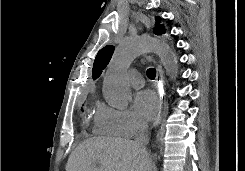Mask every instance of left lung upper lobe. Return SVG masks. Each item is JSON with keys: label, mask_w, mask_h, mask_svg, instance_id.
<instances>
[{"label": "left lung upper lobe", "mask_w": 245, "mask_h": 171, "mask_svg": "<svg viewBox=\"0 0 245 171\" xmlns=\"http://www.w3.org/2000/svg\"><path fill=\"white\" fill-rule=\"evenodd\" d=\"M155 20H156V24L153 29V32L156 35H161L162 33H165L164 25L160 24L161 18L157 16ZM113 52H114V46L112 45H107L98 52L93 66V72H92L93 79H97L101 75L102 70L109 63Z\"/></svg>", "instance_id": "left-lung-upper-lobe-1"}]
</instances>
